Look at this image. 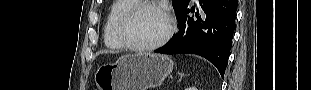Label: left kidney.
Segmentation results:
<instances>
[{"mask_svg":"<svg viewBox=\"0 0 311 90\" xmlns=\"http://www.w3.org/2000/svg\"><path fill=\"white\" fill-rule=\"evenodd\" d=\"M187 90H196L194 87L187 88Z\"/></svg>","mask_w":311,"mask_h":90,"instance_id":"left-kidney-1","label":"left kidney"}]
</instances>
